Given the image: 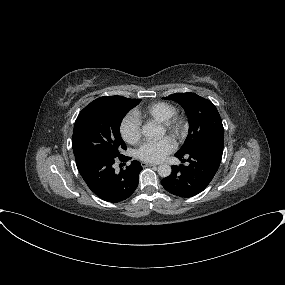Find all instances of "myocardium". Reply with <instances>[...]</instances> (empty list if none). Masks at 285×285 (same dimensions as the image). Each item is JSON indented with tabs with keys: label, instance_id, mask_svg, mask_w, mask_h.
Listing matches in <instances>:
<instances>
[{
	"label": "myocardium",
	"instance_id": "obj_1",
	"mask_svg": "<svg viewBox=\"0 0 285 285\" xmlns=\"http://www.w3.org/2000/svg\"><path fill=\"white\" fill-rule=\"evenodd\" d=\"M162 127L164 131L169 134L174 140H181L186 131V126L184 120L178 115L174 114L166 121L162 122Z\"/></svg>",
	"mask_w": 285,
	"mask_h": 285
}]
</instances>
